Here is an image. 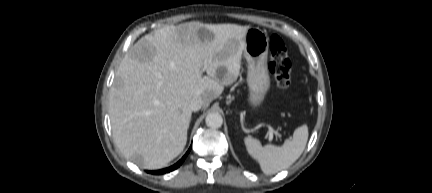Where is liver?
<instances>
[{
	"label": "liver",
	"instance_id": "obj_1",
	"mask_svg": "<svg viewBox=\"0 0 432 193\" xmlns=\"http://www.w3.org/2000/svg\"><path fill=\"white\" fill-rule=\"evenodd\" d=\"M249 28L192 21L155 30L129 49L109 92L113 139L127 159L160 169L184 150L192 98L207 108L237 80Z\"/></svg>",
	"mask_w": 432,
	"mask_h": 193
}]
</instances>
